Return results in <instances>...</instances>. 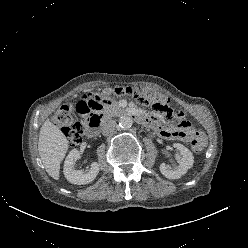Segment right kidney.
<instances>
[{
    "instance_id": "1",
    "label": "right kidney",
    "mask_w": 248,
    "mask_h": 248,
    "mask_svg": "<svg viewBox=\"0 0 248 248\" xmlns=\"http://www.w3.org/2000/svg\"><path fill=\"white\" fill-rule=\"evenodd\" d=\"M80 158V153L77 149H73L69 152L64 162V175L65 178L72 184L84 185L92 182L99 173V164L93 162L91 168L87 173H83L81 170H75L74 165Z\"/></svg>"
}]
</instances>
